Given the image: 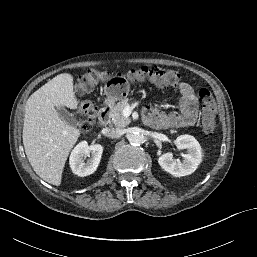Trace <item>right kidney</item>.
I'll return each mask as SVG.
<instances>
[{"mask_svg": "<svg viewBox=\"0 0 257 257\" xmlns=\"http://www.w3.org/2000/svg\"><path fill=\"white\" fill-rule=\"evenodd\" d=\"M103 147L100 144L88 146L86 141L80 142L70 155L69 164L72 172L80 177L94 173L99 165ZM91 155L86 163L84 159Z\"/></svg>", "mask_w": 257, "mask_h": 257, "instance_id": "1", "label": "right kidney"}]
</instances>
